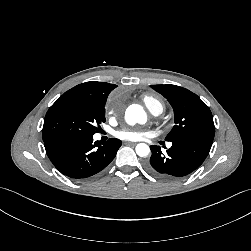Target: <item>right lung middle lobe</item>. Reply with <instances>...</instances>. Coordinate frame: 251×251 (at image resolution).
<instances>
[{
    "instance_id": "1",
    "label": "right lung middle lobe",
    "mask_w": 251,
    "mask_h": 251,
    "mask_svg": "<svg viewBox=\"0 0 251 251\" xmlns=\"http://www.w3.org/2000/svg\"><path fill=\"white\" fill-rule=\"evenodd\" d=\"M105 103L106 100L63 94L45 116L43 141L93 136L105 122Z\"/></svg>"
}]
</instances>
